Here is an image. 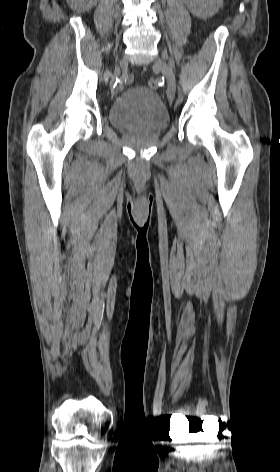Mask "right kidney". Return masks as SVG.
Wrapping results in <instances>:
<instances>
[{
	"label": "right kidney",
	"mask_w": 280,
	"mask_h": 472,
	"mask_svg": "<svg viewBox=\"0 0 280 472\" xmlns=\"http://www.w3.org/2000/svg\"><path fill=\"white\" fill-rule=\"evenodd\" d=\"M79 3V7H81L85 11H89L92 7H94L99 0H77Z\"/></svg>",
	"instance_id": "1"
}]
</instances>
